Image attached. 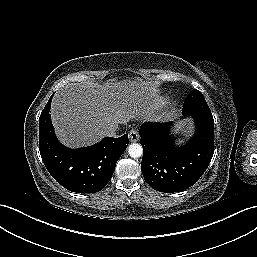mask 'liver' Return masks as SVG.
Instances as JSON below:
<instances>
[{
    "label": "liver",
    "instance_id": "liver-1",
    "mask_svg": "<svg viewBox=\"0 0 257 257\" xmlns=\"http://www.w3.org/2000/svg\"><path fill=\"white\" fill-rule=\"evenodd\" d=\"M156 98L155 85L142 79L72 84L54 95L52 123L62 144L89 146L119 124L145 119Z\"/></svg>",
    "mask_w": 257,
    "mask_h": 257
}]
</instances>
